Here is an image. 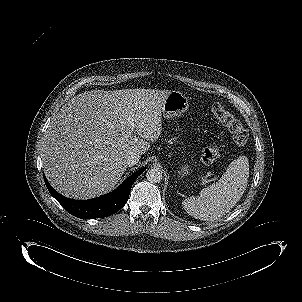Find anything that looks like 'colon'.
<instances>
[{
	"label": "colon",
	"instance_id": "colon-1",
	"mask_svg": "<svg viewBox=\"0 0 302 302\" xmlns=\"http://www.w3.org/2000/svg\"><path fill=\"white\" fill-rule=\"evenodd\" d=\"M213 115L231 132L233 141L238 146H243L248 140V132L233 114L226 110L221 103H214L211 107ZM219 148L210 144L206 146L201 154L205 163L214 162L219 156Z\"/></svg>",
	"mask_w": 302,
	"mask_h": 302
}]
</instances>
